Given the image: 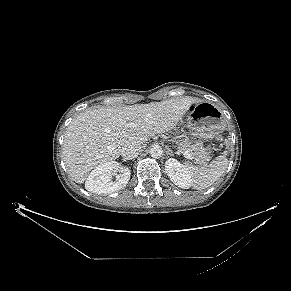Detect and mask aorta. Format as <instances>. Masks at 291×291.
<instances>
[{"instance_id":"762f6f07","label":"aorta","mask_w":291,"mask_h":291,"mask_svg":"<svg viewBox=\"0 0 291 291\" xmlns=\"http://www.w3.org/2000/svg\"><path fill=\"white\" fill-rule=\"evenodd\" d=\"M149 153L152 158L159 159L163 155V150L159 145L155 144V145H152V147L149 150Z\"/></svg>"}]
</instances>
